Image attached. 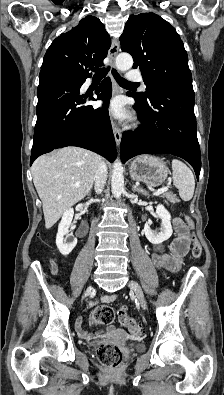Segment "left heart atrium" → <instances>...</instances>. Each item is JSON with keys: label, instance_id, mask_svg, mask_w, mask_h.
Here are the masks:
<instances>
[{"label": "left heart atrium", "instance_id": "39dd6f15", "mask_svg": "<svg viewBox=\"0 0 224 395\" xmlns=\"http://www.w3.org/2000/svg\"><path fill=\"white\" fill-rule=\"evenodd\" d=\"M110 110L113 114L119 117H123L126 115L123 101L120 98L114 99L110 103Z\"/></svg>", "mask_w": 224, "mask_h": 395}]
</instances>
